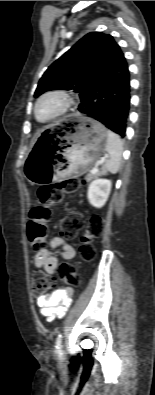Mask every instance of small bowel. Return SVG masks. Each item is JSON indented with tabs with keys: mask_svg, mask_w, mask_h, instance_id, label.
Returning a JSON list of instances; mask_svg holds the SVG:
<instances>
[{
	"mask_svg": "<svg viewBox=\"0 0 155 395\" xmlns=\"http://www.w3.org/2000/svg\"><path fill=\"white\" fill-rule=\"evenodd\" d=\"M53 250H61L60 254L54 255ZM75 256V249L61 237H53L50 240V249H40L34 256V265L45 270L53 276L61 261H69ZM73 290L70 287H59L51 293L39 295L37 305L43 316L51 321L62 317L72 302Z\"/></svg>",
	"mask_w": 155,
	"mask_h": 395,
	"instance_id": "small-bowel-1",
	"label": "small bowel"
}]
</instances>
